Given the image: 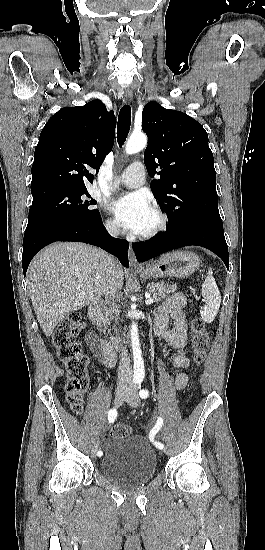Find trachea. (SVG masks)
<instances>
[{
  "mask_svg": "<svg viewBox=\"0 0 265 550\" xmlns=\"http://www.w3.org/2000/svg\"><path fill=\"white\" fill-rule=\"evenodd\" d=\"M131 125V107L126 104L124 105L118 116L117 124V142L119 146H122L128 136Z\"/></svg>",
  "mask_w": 265,
  "mask_h": 550,
  "instance_id": "3493384b",
  "label": "trachea"
}]
</instances>
